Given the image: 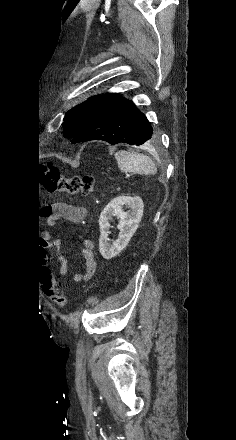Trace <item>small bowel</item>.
Returning <instances> with one entry per match:
<instances>
[{
	"instance_id": "1",
	"label": "small bowel",
	"mask_w": 236,
	"mask_h": 440,
	"mask_svg": "<svg viewBox=\"0 0 236 440\" xmlns=\"http://www.w3.org/2000/svg\"><path fill=\"white\" fill-rule=\"evenodd\" d=\"M50 210L51 211L47 215V221L50 225H56L60 221L77 224L82 222L87 214L85 207L66 203H56L50 208ZM43 213L46 214L45 210ZM54 245L58 246L59 242L54 241ZM82 255L85 260V270L82 273L73 274V281L76 283L91 279L97 269V260L93 253V245L88 240H83ZM60 261L59 272L62 276H66L68 273L67 260L64 257H61Z\"/></svg>"
}]
</instances>
